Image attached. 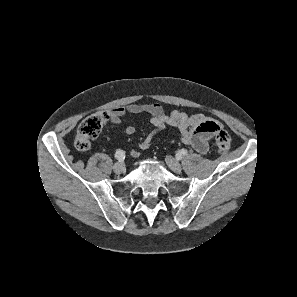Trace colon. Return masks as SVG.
<instances>
[{
	"mask_svg": "<svg viewBox=\"0 0 297 297\" xmlns=\"http://www.w3.org/2000/svg\"><path fill=\"white\" fill-rule=\"evenodd\" d=\"M108 118L109 115L105 112L86 117L77 128L75 148L80 152L87 151L90 148L91 140L99 135ZM215 146L220 154H226L231 148L230 135L226 131L220 130L215 136Z\"/></svg>",
	"mask_w": 297,
	"mask_h": 297,
	"instance_id": "5ec220e1",
	"label": "colon"
}]
</instances>
